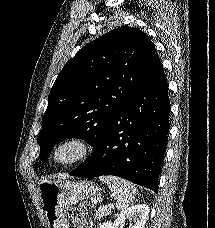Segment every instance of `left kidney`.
<instances>
[{
    "mask_svg": "<svg viewBox=\"0 0 215 228\" xmlns=\"http://www.w3.org/2000/svg\"><path fill=\"white\" fill-rule=\"evenodd\" d=\"M149 212L147 204H137V206L126 208L115 220L113 228H125L127 222H129V228H145Z\"/></svg>",
    "mask_w": 215,
    "mask_h": 228,
    "instance_id": "5707ae66",
    "label": "left kidney"
}]
</instances>
